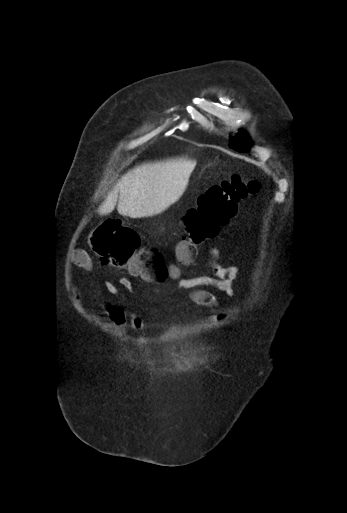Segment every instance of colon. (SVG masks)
Returning <instances> with one entry per match:
<instances>
[{
  "label": "colon",
  "instance_id": "1",
  "mask_svg": "<svg viewBox=\"0 0 347 513\" xmlns=\"http://www.w3.org/2000/svg\"><path fill=\"white\" fill-rule=\"evenodd\" d=\"M259 189L257 181L233 175L201 193L180 225V258L193 260L197 246L217 237L236 215L238 203ZM91 244L105 263L128 268L154 282H163L171 274L162 254L156 250L140 253L138 235L118 220H105L94 230Z\"/></svg>",
  "mask_w": 347,
  "mask_h": 513
}]
</instances>
